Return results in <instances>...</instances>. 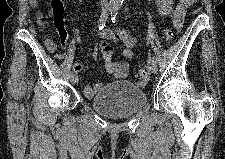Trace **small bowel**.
Returning <instances> with one entry per match:
<instances>
[{"label":"small bowel","mask_w":225,"mask_h":159,"mask_svg":"<svg viewBox=\"0 0 225 159\" xmlns=\"http://www.w3.org/2000/svg\"><path fill=\"white\" fill-rule=\"evenodd\" d=\"M30 5L32 8L36 9L39 6V0H31ZM190 5V0H181L178 3L174 4L172 1L168 0H158L157 1V9L161 15H173L174 18V26L176 29H180L183 20L186 14V11ZM38 26L39 28H44V19L41 13H38ZM58 35L63 47H66L67 44V37L68 33L64 27L57 26ZM99 37L101 42L97 46L94 56H98V49L100 48L101 51L104 46L110 47V42L118 43L120 50L124 57L126 58H133L135 53L133 51V47L135 46V38L125 29H120L117 33H114L109 28H104L100 31ZM44 44L46 48L51 52L54 53L57 57H61L62 54L57 52V45L47 36L43 38ZM105 58V57H104ZM105 68L108 74L113 76L116 79H123L125 78L130 72V66L127 62L124 61H113L110 58H105ZM73 69L76 72L84 71L85 68L75 62L73 64ZM101 88V84H96L94 87L85 86L83 87L82 91L86 98H91L93 95Z\"/></svg>","instance_id":"1"}]
</instances>
